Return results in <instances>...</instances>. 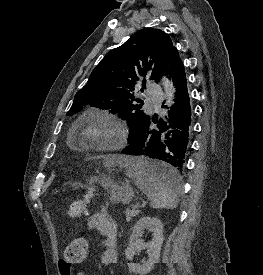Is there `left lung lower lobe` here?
I'll use <instances>...</instances> for the list:
<instances>
[{
    "mask_svg": "<svg viewBox=\"0 0 263 275\" xmlns=\"http://www.w3.org/2000/svg\"><path fill=\"white\" fill-rule=\"evenodd\" d=\"M165 73L176 87L175 104L168 112L166 121L147 120L128 140L129 145L121 153L158 161L153 164L152 174L173 184L184 171L192 127L186 75L178 52L172 57ZM152 122L157 123L158 131L150 128Z\"/></svg>",
    "mask_w": 263,
    "mask_h": 275,
    "instance_id": "0a47b994",
    "label": "left lung lower lobe"
}]
</instances>
